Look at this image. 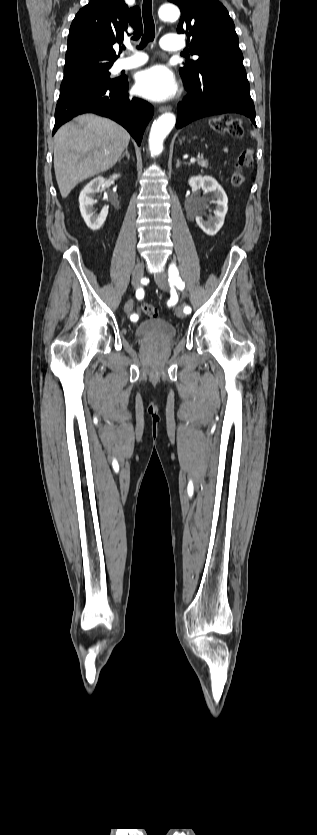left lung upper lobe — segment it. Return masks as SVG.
Instances as JSON below:
<instances>
[{"mask_svg": "<svg viewBox=\"0 0 317 835\" xmlns=\"http://www.w3.org/2000/svg\"><path fill=\"white\" fill-rule=\"evenodd\" d=\"M168 1L178 5L181 10L177 32L188 34L189 52L199 56L197 61L187 60L183 63L179 70L181 76L192 78L205 65L215 61H243L235 25L219 1ZM189 37H192L190 41Z\"/></svg>", "mask_w": 317, "mask_h": 835, "instance_id": "5c2ea615", "label": "left lung upper lobe"}]
</instances>
